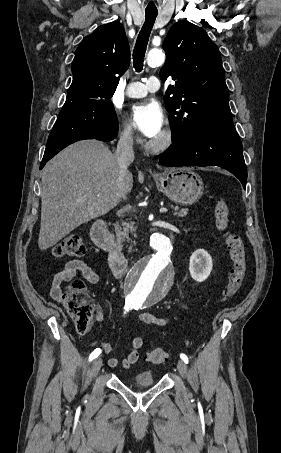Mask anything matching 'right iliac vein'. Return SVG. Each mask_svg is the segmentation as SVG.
<instances>
[{
	"mask_svg": "<svg viewBox=\"0 0 281 453\" xmlns=\"http://www.w3.org/2000/svg\"><path fill=\"white\" fill-rule=\"evenodd\" d=\"M93 365L91 366V374L93 376H96L98 374V372L100 371V368L102 367V362L100 360V358H95V360H93Z\"/></svg>",
	"mask_w": 281,
	"mask_h": 453,
	"instance_id": "obj_1",
	"label": "right iliac vein"
}]
</instances>
